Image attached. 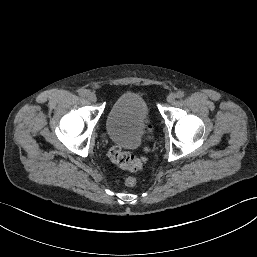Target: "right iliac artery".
I'll return each mask as SVG.
<instances>
[{"label": "right iliac artery", "mask_w": 257, "mask_h": 257, "mask_svg": "<svg viewBox=\"0 0 257 257\" xmlns=\"http://www.w3.org/2000/svg\"><path fill=\"white\" fill-rule=\"evenodd\" d=\"M78 93H79L80 96H86L87 90H85V89H80V90L78 91Z\"/></svg>", "instance_id": "right-iliac-artery-1"}]
</instances>
